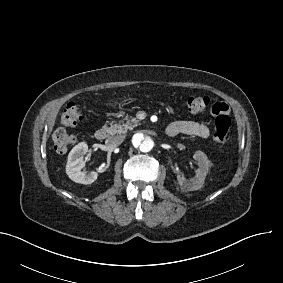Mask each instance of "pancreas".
I'll use <instances>...</instances> for the list:
<instances>
[{
  "label": "pancreas",
  "instance_id": "pancreas-1",
  "mask_svg": "<svg viewBox=\"0 0 283 283\" xmlns=\"http://www.w3.org/2000/svg\"><path fill=\"white\" fill-rule=\"evenodd\" d=\"M138 125V120L134 117H129L126 119V122L124 123H114L111 127H108L107 125L104 126V128L108 131L111 135H124L127 133V131L134 129Z\"/></svg>",
  "mask_w": 283,
  "mask_h": 283
}]
</instances>
